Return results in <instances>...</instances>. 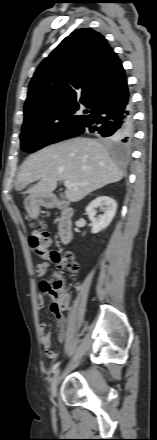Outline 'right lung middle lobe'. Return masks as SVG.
<instances>
[{"label":"right lung middle lobe","instance_id":"right-lung-middle-lobe-1","mask_svg":"<svg viewBox=\"0 0 157 440\" xmlns=\"http://www.w3.org/2000/svg\"><path fill=\"white\" fill-rule=\"evenodd\" d=\"M84 124H57L39 121H30L23 124L20 135L21 149L32 153L44 146L53 144L82 133ZM112 142L111 140L107 139Z\"/></svg>","mask_w":157,"mask_h":440}]
</instances>
